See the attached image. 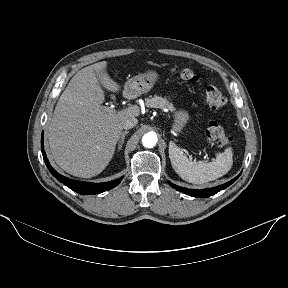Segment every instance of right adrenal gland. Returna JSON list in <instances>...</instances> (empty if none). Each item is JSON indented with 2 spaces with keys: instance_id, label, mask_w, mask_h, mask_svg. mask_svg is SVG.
<instances>
[{
  "instance_id": "1",
  "label": "right adrenal gland",
  "mask_w": 288,
  "mask_h": 288,
  "mask_svg": "<svg viewBox=\"0 0 288 288\" xmlns=\"http://www.w3.org/2000/svg\"><path fill=\"white\" fill-rule=\"evenodd\" d=\"M129 133V131L122 132L120 139L118 141V150H121L124 144L125 136Z\"/></svg>"
}]
</instances>
